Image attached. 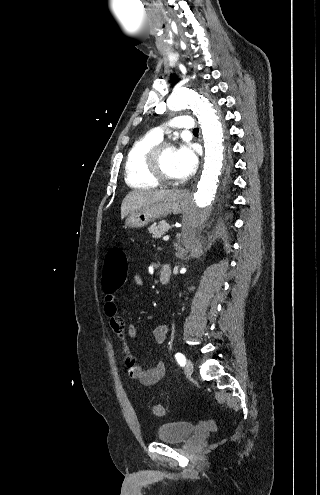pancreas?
Listing matches in <instances>:
<instances>
[{"label": "pancreas", "instance_id": "pancreas-1", "mask_svg": "<svg viewBox=\"0 0 320 495\" xmlns=\"http://www.w3.org/2000/svg\"><path fill=\"white\" fill-rule=\"evenodd\" d=\"M168 229L169 224L167 223V221L162 220L158 223H153L148 230L154 238H158L161 237Z\"/></svg>", "mask_w": 320, "mask_h": 495}]
</instances>
